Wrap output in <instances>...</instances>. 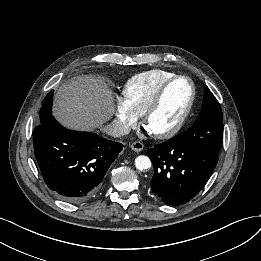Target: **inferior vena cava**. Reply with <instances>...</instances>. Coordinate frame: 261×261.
<instances>
[{
    "instance_id": "inferior-vena-cava-1",
    "label": "inferior vena cava",
    "mask_w": 261,
    "mask_h": 261,
    "mask_svg": "<svg viewBox=\"0 0 261 261\" xmlns=\"http://www.w3.org/2000/svg\"><path fill=\"white\" fill-rule=\"evenodd\" d=\"M105 131L113 137H120L129 134L130 128L121 121H113L105 127Z\"/></svg>"
}]
</instances>
